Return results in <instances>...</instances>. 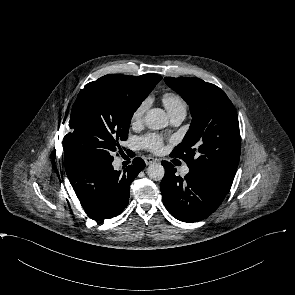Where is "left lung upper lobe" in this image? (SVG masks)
Instances as JSON below:
<instances>
[{"instance_id":"5c2ea615","label":"left lung upper lobe","mask_w":295,"mask_h":295,"mask_svg":"<svg viewBox=\"0 0 295 295\" xmlns=\"http://www.w3.org/2000/svg\"><path fill=\"white\" fill-rule=\"evenodd\" d=\"M164 80L187 102L193 117L189 131L171 156L183 159L189 171L208 177L229 192L241 151L238 116L232 102L219 87L198 78Z\"/></svg>"}]
</instances>
